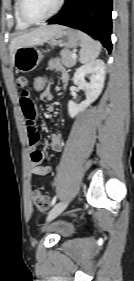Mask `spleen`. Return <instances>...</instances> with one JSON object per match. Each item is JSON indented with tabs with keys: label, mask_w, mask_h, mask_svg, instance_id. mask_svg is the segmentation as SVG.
<instances>
[{
	"label": "spleen",
	"mask_w": 134,
	"mask_h": 281,
	"mask_svg": "<svg viewBox=\"0 0 134 281\" xmlns=\"http://www.w3.org/2000/svg\"><path fill=\"white\" fill-rule=\"evenodd\" d=\"M82 42L80 50V62L89 63L94 61L100 54L102 45L85 33H81Z\"/></svg>",
	"instance_id": "obj_1"
}]
</instances>
